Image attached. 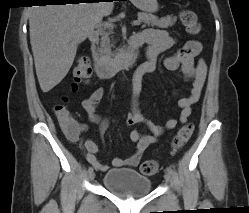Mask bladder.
I'll return each mask as SVG.
<instances>
[{
	"instance_id": "1",
	"label": "bladder",
	"mask_w": 249,
	"mask_h": 213,
	"mask_svg": "<svg viewBox=\"0 0 249 213\" xmlns=\"http://www.w3.org/2000/svg\"><path fill=\"white\" fill-rule=\"evenodd\" d=\"M103 186L116 196L135 198L151 192L152 180L134 169L117 168L104 175Z\"/></svg>"
}]
</instances>
